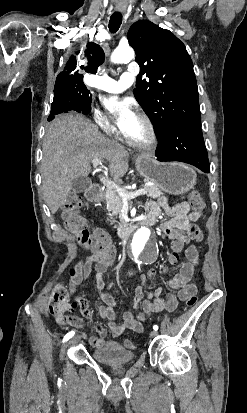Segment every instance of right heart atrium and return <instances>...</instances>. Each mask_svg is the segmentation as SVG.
Here are the masks:
<instances>
[{"label": "right heart atrium", "mask_w": 247, "mask_h": 413, "mask_svg": "<svg viewBox=\"0 0 247 413\" xmlns=\"http://www.w3.org/2000/svg\"><path fill=\"white\" fill-rule=\"evenodd\" d=\"M91 112L93 114H100L102 112V107L100 105H93L91 107ZM100 128L106 133L110 134L113 132V127L106 121L104 116H101L99 121Z\"/></svg>", "instance_id": "1"}]
</instances>
